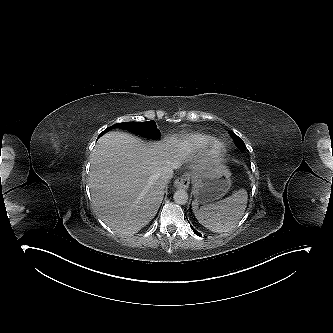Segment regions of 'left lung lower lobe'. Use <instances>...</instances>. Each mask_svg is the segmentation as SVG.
<instances>
[{"label":"left lung lower lobe","instance_id":"obj_1","mask_svg":"<svg viewBox=\"0 0 333 333\" xmlns=\"http://www.w3.org/2000/svg\"><path fill=\"white\" fill-rule=\"evenodd\" d=\"M191 226V225H190ZM191 228L193 229V232L196 234V235H198V236H202L198 231H196L192 226H191Z\"/></svg>","mask_w":333,"mask_h":333}]
</instances>
